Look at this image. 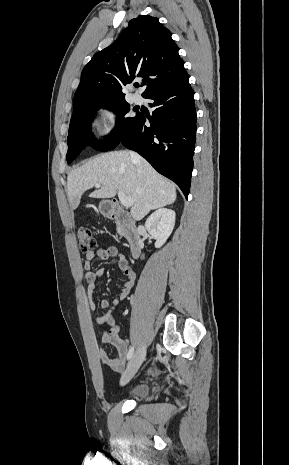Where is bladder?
<instances>
[{"mask_svg":"<svg viewBox=\"0 0 289 465\" xmlns=\"http://www.w3.org/2000/svg\"><path fill=\"white\" fill-rule=\"evenodd\" d=\"M149 393V385L148 383L146 382H140L136 385H134L128 395L130 398H133V399H141V398H145Z\"/></svg>","mask_w":289,"mask_h":465,"instance_id":"1","label":"bladder"}]
</instances>
